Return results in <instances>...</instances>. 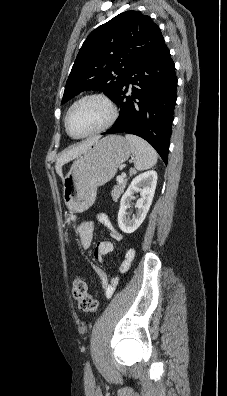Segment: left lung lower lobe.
<instances>
[{
  "mask_svg": "<svg viewBox=\"0 0 227 396\" xmlns=\"http://www.w3.org/2000/svg\"><path fill=\"white\" fill-rule=\"evenodd\" d=\"M129 84L131 95L126 96ZM175 65L164 38L132 66L114 102L120 114L103 134L129 133L148 141L167 164L176 103Z\"/></svg>",
  "mask_w": 227,
  "mask_h": 396,
  "instance_id": "0a47b994",
  "label": "left lung lower lobe"
}]
</instances>
